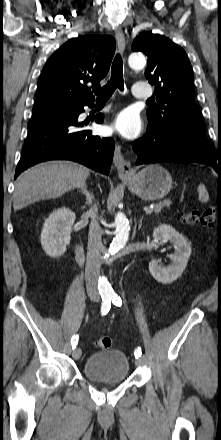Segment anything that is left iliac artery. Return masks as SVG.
<instances>
[{"label": "left iliac artery", "instance_id": "1", "mask_svg": "<svg viewBox=\"0 0 221 440\" xmlns=\"http://www.w3.org/2000/svg\"><path fill=\"white\" fill-rule=\"evenodd\" d=\"M110 298H111L114 305L119 306V307L122 305V300H121L120 296H118L117 294L111 295ZM141 354H142V351H141V348L139 347L134 352L135 358L137 359V358L141 357Z\"/></svg>", "mask_w": 221, "mask_h": 440}]
</instances>
